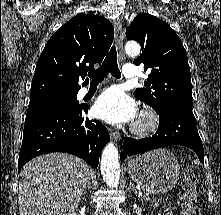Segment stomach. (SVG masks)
Instances as JSON below:
<instances>
[{
	"label": "stomach",
	"instance_id": "stomach-1",
	"mask_svg": "<svg viewBox=\"0 0 221 215\" xmlns=\"http://www.w3.org/2000/svg\"><path fill=\"white\" fill-rule=\"evenodd\" d=\"M179 163L167 149H156L128 161L130 177L150 193H165L179 179Z\"/></svg>",
	"mask_w": 221,
	"mask_h": 215
}]
</instances>
